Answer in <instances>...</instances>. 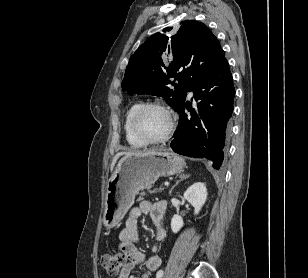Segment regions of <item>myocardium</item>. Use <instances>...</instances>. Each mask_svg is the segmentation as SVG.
<instances>
[{
  "label": "myocardium",
  "mask_w": 308,
  "mask_h": 278,
  "mask_svg": "<svg viewBox=\"0 0 308 278\" xmlns=\"http://www.w3.org/2000/svg\"><path fill=\"white\" fill-rule=\"evenodd\" d=\"M152 108L163 110L168 115V118H169V127L166 133L160 138H151L147 136L145 133H143V131L141 130L139 126L140 117L143 115L144 112ZM131 128H132L133 133L136 135V137L140 139L142 142H144L145 144H153V145L161 144L169 140L170 137L172 136L173 131L175 129V119H174L173 113L166 105L160 102H148V103H144L141 106H139L132 114Z\"/></svg>",
  "instance_id": "1"
}]
</instances>
